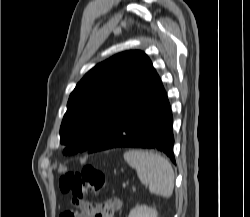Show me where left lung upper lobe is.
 I'll list each match as a JSON object with an SVG mask.
<instances>
[{
	"instance_id": "left-lung-upper-lobe-1",
	"label": "left lung upper lobe",
	"mask_w": 250,
	"mask_h": 217,
	"mask_svg": "<svg viewBox=\"0 0 250 217\" xmlns=\"http://www.w3.org/2000/svg\"><path fill=\"white\" fill-rule=\"evenodd\" d=\"M153 69L141 51H126L93 67L71 93L60 127L65 154L90 149Z\"/></svg>"
}]
</instances>
